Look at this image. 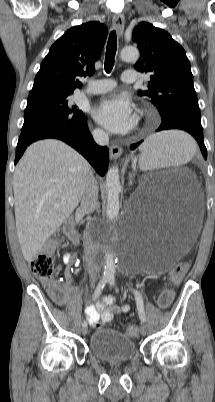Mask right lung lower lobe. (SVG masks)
Returning a JSON list of instances; mask_svg holds the SVG:
<instances>
[{"mask_svg":"<svg viewBox=\"0 0 215 402\" xmlns=\"http://www.w3.org/2000/svg\"><path fill=\"white\" fill-rule=\"evenodd\" d=\"M46 138H55L64 141L80 152L101 176L106 173L109 164L108 148L99 147L94 142L88 130L86 118L78 124L42 134L25 145H17L15 164L21 158L28 145Z\"/></svg>","mask_w":215,"mask_h":402,"instance_id":"1","label":"right lung lower lobe"}]
</instances>
